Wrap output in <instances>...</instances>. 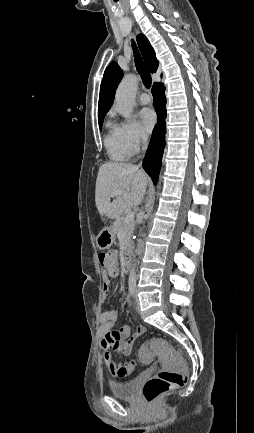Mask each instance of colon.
<instances>
[{
	"mask_svg": "<svg viewBox=\"0 0 254 433\" xmlns=\"http://www.w3.org/2000/svg\"><path fill=\"white\" fill-rule=\"evenodd\" d=\"M99 262L108 276L117 275V253L115 250L101 252L99 254ZM144 332V328L140 327L138 329L140 336ZM154 344L167 354L172 361L165 369L144 383L141 393L148 402H154L167 392L181 388L185 384V362L169 347L164 339L159 338ZM140 359L147 363L151 360V356L143 350L140 354Z\"/></svg>",
	"mask_w": 254,
	"mask_h": 433,
	"instance_id": "1",
	"label": "colon"
}]
</instances>
